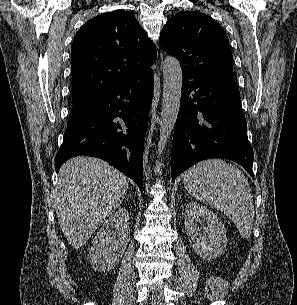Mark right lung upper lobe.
<instances>
[{
  "mask_svg": "<svg viewBox=\"0 0 297 305\" xmlns=\"http://www.w3.org/2000/svg\"><path fill=\"white\" fill-rule=\"evenodd\" d=\"M157 51L132 13L117 10L87 21L71 48L73 104L150 72Z\"/></svg>",
  "mask_w": 297,
  "mask_h": 305,
  "instance_id": "obj_1",
  "label": "right lung upper lobe"
}]
</instances>
